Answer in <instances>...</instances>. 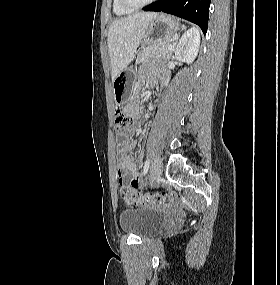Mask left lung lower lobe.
I'll list each match as a JSON object with an SVG mask.
<instances>
[{
  "instance_id": "obj_1",
  "label": "left lung lower lobe",
  "mask_w": 280,
  "mask_h": 285,
  "mask_svg": "<svg viewBox=\"0 0 280 285\" xmlns=\"http://www.w3.org/2000/svg\"><path fill=\"white\" fill-rule=\"evenodd\" d=\"M210 0H158L146 6L144 11H162L197 24L207 32Z\"/></svg>"
}]
</instances>
